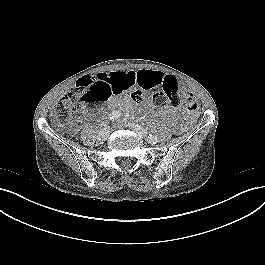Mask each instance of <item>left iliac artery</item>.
I'll list each match as a JSON object with an SVG mask.
<instances>
[{"label":"left iliac artery","mask_w":265,"mask_h":265,"mask_svg":"<svg viewBox=\"0 0 265 265\" xmlns=\"http://www.w3.org/2000/svg\"><path fill=\"white\" fill-rule=\"evenodd\" d=\"M148 138L149 140H157V137L152 134H149Z\"/></svg>","instance_id":"left-iliac-artery-1"}]
</instances>
